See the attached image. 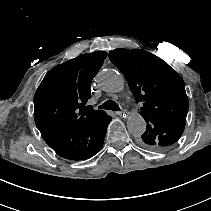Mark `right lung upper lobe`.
<instances>
[{"label":"right lung upper lobe","mask_w":211,"mask_h":211,"mask_svg":"<svg viewBox=\"0 0 211 211\" xmlns=\"http://www.w3.org/2000/svg\"><path fill=\"white\" fill-rule=\"evenodd\" d=\"M107 53L80 55L51 69L34 96V119L43 139L85 125L102 114L86 105L90 85Z\"/></svg>","instance_id":"cb5924a9"}]
</instances>
